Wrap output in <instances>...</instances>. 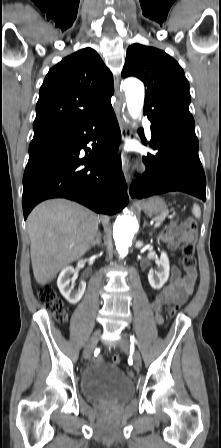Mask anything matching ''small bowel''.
Listing matches in <instances>:
<instances>
[{
    "mask_svg": "<svg viewBox=\"0 0 221 448\" xmlns=\"http://www.w3.org/2000/svg\"><path fill=\"white\" fill-rule=\"evenodd\" d=\"M161 239L168 245L169 250L175 251L187 240V237L175 224H171ZM196 282V271L182 274L178 266L173 267L170 284L164 287L150 303V309L155 314L158 323L163 322V311L166 308L171 305L181 306L187 302L194 291Z\"/></svg>",
    "mask_w": 221,
    "mask_h": 448,
    "instance_id": "small-bowel-1",
    "label": "small bowel"
}]
</instances>
